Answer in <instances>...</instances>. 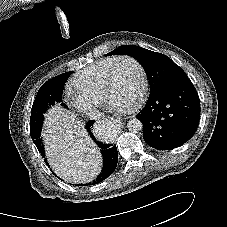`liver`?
Instances as JSON below:
<instances>
[{
    "instance_id": "1",
    "label": "liver",
    "mask_w": 227,
    "mask_h": 227,
    "mask_svg": "<svg viewBox=\"0 0 227 227\" xmlns=\"http://www.w3.org/2000/svg\"><path fill=\"white\" fill-rule=\"evenodd\" d=\"M75 117L59 106L52 108L45 116L42 136L46 156L55 173L67 182L87 183L100 172L101 156Z\"/></svg>"
}]
</instances>
